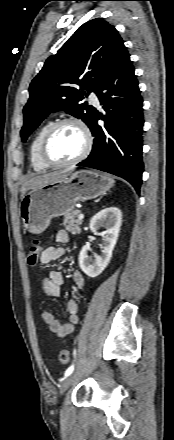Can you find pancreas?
I'll return each mask as SVG.
<instances>
[{"label":"pancreas","instance_id":"pancreas-1","mask_svg":"<svg viewBox=\"0 0 174 440\" xmlns=\"http://www.w3.org/2000/svg\"><path fill=\"white\" fill-rule=\"evenodd\" d=\"M79 214L80 210L74 209L64 217L63 226L72 234H78L81 231L80 225L82 224V221L78 219Z\"/></svg>","mask_w":174,"mask_h":440}]
</instances>
